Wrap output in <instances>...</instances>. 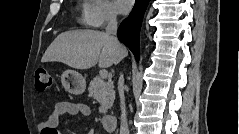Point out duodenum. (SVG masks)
Instances as JSON below:
<instances>
[{
	"label": "duodenum",
	"instance_id": "410a0bca",
	"mask_svg": "<svg viewBox=\"0 0 239 134\" xmlns=\"http://www.w3.org/2000/svg\"><path fill=\"white\" fill-rule=\"evenodd\" d=\"M102 125L104 129L111 133L115 130L116 127V118L113 115H106L102 118Z\"/></svg>",
	"mask_w": 239,
	"mask_h": 134
}]
</instances>
